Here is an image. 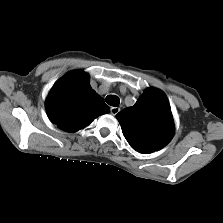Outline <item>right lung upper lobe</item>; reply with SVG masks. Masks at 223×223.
Wrapping results in <instances>:
<instances>
[{
    "label": "right lung upper lobe",
    "instance_id": "1",
    "mask_svg": "<svg viewBox=\"0 0 223 223\" xmlns=\"http://www.w3.org/2000/svg\"><path fill=\"white\" fill-rule=\"evenodd\" d=\"M46 111L60 129L75 132L110 109L90 87L87 74L76 70L54 84L46 100Z\"/></svg>",
    "mask_w": 223,
    "mask_h": 223
}]
</instances>
